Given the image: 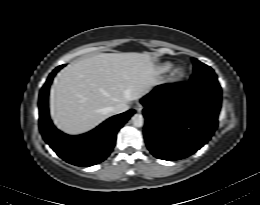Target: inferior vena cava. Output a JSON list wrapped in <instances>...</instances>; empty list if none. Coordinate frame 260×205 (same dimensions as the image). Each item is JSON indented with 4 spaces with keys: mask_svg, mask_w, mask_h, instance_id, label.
Masks as SVG:
<instances>
[{
    "mask_svg": "<svg viewBox=\"0 0 260 205\" xmlns=\"http://www.w3.org/2000/svg\"><path fill=\"white\" fill-rule=\"evenodd\" d=\"M129 109V106L126 104V103H119L113 107H110L108 109V111L115 115V114H120V113H123L125 111H127Z\"/></svg>",
    "mask_w": 260,
    "mask_h": 205,
    "instance_id": "inferior-vena-cava-1",
    "label": "inferior vena cava"
}]
</instances>
